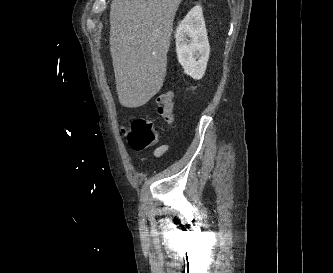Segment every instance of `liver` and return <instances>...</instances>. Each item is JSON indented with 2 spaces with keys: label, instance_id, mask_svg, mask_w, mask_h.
<instances>
[{
  "label": "liver",
  "instance_id": "6515ba94",
  "mask_svg": "<svg viewBox=\"0 0 333 273\" xmlns=\"http://www.w3.org/2000/svg\"><path fill=\"white\" fill-rule=\"evenodd\" d=\"M181 1H112L110 52L122 106H143L160 91L173 21Z\"/></svg>",
  "mask_w": 333,
  "mask_h": 273
}]
</instances>
